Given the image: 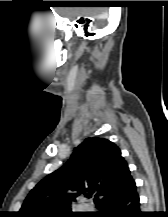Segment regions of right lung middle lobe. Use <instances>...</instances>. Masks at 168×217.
I'll list each match as a JSON object with an SVG mask.
<instances>
[{"instance_id": "obj_1", "label": "right lung middle lobe", "mask_w": 168, "mask_h": 217, "mask_svg": "<svg viewBox=\"0 0 168 217\" xmlns=\"http://www.w3.org/2000/svg\"><path fill=\"white\" fill-rule=\"evenodd\" d=\"M52 217H82L81 215H54Z\"/></svg>"}]
</instances>
